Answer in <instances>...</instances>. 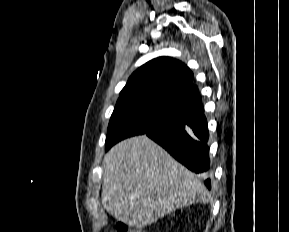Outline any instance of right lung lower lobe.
Here are the masks:
<instances>
[{"label": "right lung lower lobe", "instance_id": "98d812e1", "mask_svg": "<svg viewBox=\"0 0 289 232\" xmlns=\"http://www.w3.org/2000/svg\"><path fill=\"white\" fill-rule=\"evenodd\" d=\"M175 159L195 173L210 170L208 127L202 107L184 112L179 118L145 133ZM210 189V179L205 180Z\"/></svg>", "mask_w": 289, "mask_h": 232}]
</instances>
